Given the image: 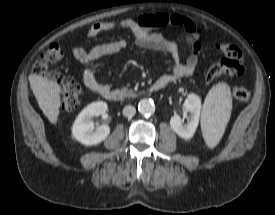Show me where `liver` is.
Here are the masks:
<instances>
[{
    "instance_id": "1",
    "label": "liver",
    "mask_w": 275,
    "mask_h": 215,
    "mask_svg": "<svg viewBox=\"0 0 275 215\" xmlns=\"http://www.w3.org/2000/svg\"><path fill=\"white\" fill-rule=\"evenodd\" d=\"M28 79L40 109L52 124H56L61 106L60 85L38 74H30Z\"/></svg>"
}]
</instances>
